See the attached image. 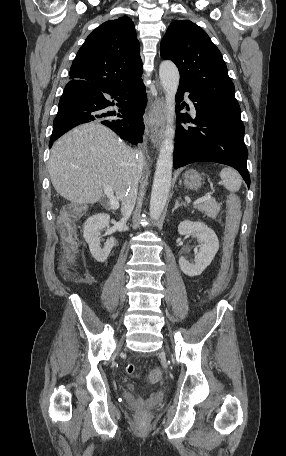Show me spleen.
<instances>
[{"mask_svg": "<svg viewBox=\"0 0 286 456\" xmlns=\"http://www.w3.org/2000/svg\"><path fill=\"white\" fill-rule=\"evenodd\" d=\"M222 185L231 192H237L241 187V177L232 168H224L220 172Z\"/></svg>", "mask_w": 286, "mask_h": 456, "instance_id": "spleen-1", "label": "spleen"}]
</instances>
